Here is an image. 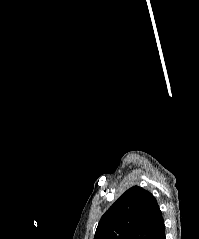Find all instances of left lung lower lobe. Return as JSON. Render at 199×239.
<instances>
[{"mask_svg":"<svg viewBox=\"0 0 199 239\" xmlns=\"http://www.w3.org/2000/svg\"><path fill=\"white\" fill-rule=\"evenodd\" d=\"M151 239H166V237H165V225H164L163 218L158 223Z\"/></svg>","mask_w":199,"mask_h":239,"instance_id":"1","label":"left lung lower lobe"}]
</instances>
